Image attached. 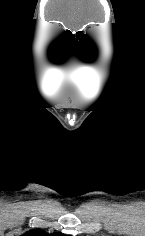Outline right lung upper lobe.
Returning <instances> with one entry per match:
<instances>
[{
	"mask_svg": "<svg viewBox=\"0 0 145 236\" xmlns=\"http://www.w3.org/2000/svg\"><path fill=\"white\" fill-rule=\"evenodd\" d=\"M21 236H68V235H64L60 233L47 234L43 230L34 229V230L26 232L25 234Z\"/></svg>",
	"mask_w": 145,
	"mask_h": 236,
	"instance_id": "cb5924a9",
	"label": "right lung upper lobe"
}]
</instances>
